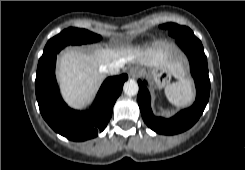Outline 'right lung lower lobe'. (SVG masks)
Returning <instances> with one entry per match:
<instances>
[{"label": "right lung lower lobe", "instance_id": "98d812e1", "mask_svg": "<svg viewBox=\"0 0 245 170\" xmlns=\"http://www.w3.org/2000/svg\"><path fill=\"white\" fill-rule=\"evenodd\" d=\"M61 49H56L39 60L35 90L40 112L55 132L69 140L94 138L107 126L114 103L128 76L123 74L107 78L96 96L92 110H73L61 98L55 78L56 55Z\"/></svg>", "mask_w": 245, "mask_h": 170}]
</instances>
